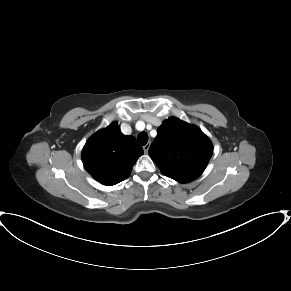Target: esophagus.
I'll use <instances>...</instances> for the list:
<instances>
[{
	"label": "esophagus",
	"instance_id": "1",
	"mask_svg": "<svg viewBox=\"0 0 291 291\" xmlns=\"http://www.w3.org/2000/svg\"><path fill=\"white\" fill-rule=\"evenodd\" d=\"M149 147H150V143H147L145 146H143V150L146 154L148 153Z\"/></svg>",
	"mask_w": 291,
	"mask_h": 291
}]
</instances>
